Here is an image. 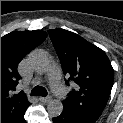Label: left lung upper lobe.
<instances>
[{
  "instance_id": "left-lung-upper-lobe-1",
  "label": "left lung upper lobe",
  "mask_w": 123,
  "mask_h": 123,
  "mask_svg": "<svg viewBox=\"0 0 123 123\" xmlns=\"http://www.w3.org/2000/svg\"><path fill=\"white\" fill-rule=\"evenodd\" d=\"M64 74L76 84L63 101L72 115L95 123L104 110L114 81V71L103 50L79 35L64 30L48 31Z\"/></svg>"
}]
</instances>
